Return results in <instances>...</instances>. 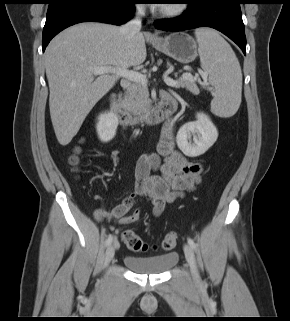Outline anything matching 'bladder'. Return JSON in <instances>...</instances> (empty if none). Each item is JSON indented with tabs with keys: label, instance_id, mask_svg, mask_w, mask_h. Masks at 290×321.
Listing matches in <instances>:
<instances>
[{
	"label": "bladder",
	"instance_id": "31cf9c89",
	"mask_svg": "<svg viewBox=\"0 0 290 321\" xmlns=\"http://www.w3.org/2000/svg\"><path fill=\"white\" fill-rule=\"evenodd\" d=\"M177 260V252L146 257L127 255L124 257V264L138 274L159 275L175 266Z\"/></svg>",
	"mask_w": 290,
	"mask_h": 321
}]
</instances>
